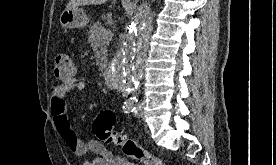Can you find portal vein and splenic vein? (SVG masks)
I'll return each mask as SVG.
<instances>
[{"label": "portal vein and splenic vein", "mask_w": 276, "mask_h": 165, "mask_svg": "<svg viewBox=\"0 0 276 165\" xmlns=\"http://www.w3.org/2000/svg\"><path fill=\"white\" fill-rule=\"evenodd\" d=\"M110 34H111V32H110L109 30L103 29V30L101 31V33H100V36H101L102 38H106V37H108Z\"/></svg>", "instance_id": "obj_1"}]
</instances>
